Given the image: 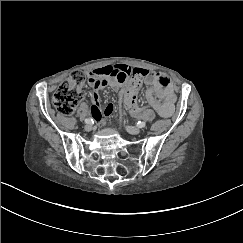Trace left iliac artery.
<instances>
[{
  "mask_svg": "<svg viewBox=\"0 0 243 243\" xmlns=\"http://www.w3.org/2000/svg\"><path fill=\"white\" fill-rule=\"evenodd\" d=\"M136 125H137V127H139V128H143V127L146 126V123H145V122L138 121V122L136 123Z\"/></svg>",
  "mask_w": 243,
  "mask_h": 243,
  "instance_id": "1",
  "label": "left iliac artery"
}]
</instances>
